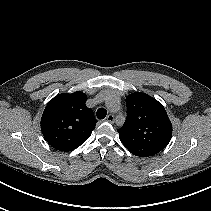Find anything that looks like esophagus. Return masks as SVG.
<instances>
[{
  "label": "esophagus",
  "mask_w": 211,
  "mask_h": 211,
  "mask_svg": "<svg viewBox=\"0 0 211 211\" xmlns=\"http://www.w3.org/2000/svg\"><path fill=\"white\" fill-rule=\"evenodd\" d=\"M105 121L109 122V123H113L114 122V116L112 114H109L106 118Z\"/></svg>",
  "instance_id": "1"
}]
</instances>
